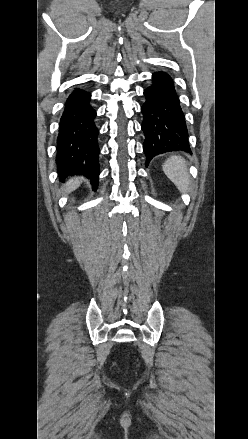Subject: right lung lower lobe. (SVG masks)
Here are the masks:
<instances>
[{
	"label": "right lung lower lobe",
	"instance_id": "1",
	"mask_svg": "<svg viewBox=\"0 0 248 439\" xmlns=\"http://www.w3.org/2000/svg\"><path fill=\"white\" fill-rule=\"evenodd\" d=\"M90 99L91 94L82 89H75L67 98L60 119L56 162L61 177L83 174L91 178L96 189L100 174L99 131L94 123L96 111L90 105Z\"/></svg>",
	"mask_w": 248,
	"mask_h": 439
}]
</instances>
